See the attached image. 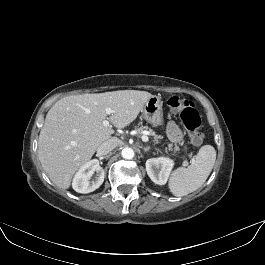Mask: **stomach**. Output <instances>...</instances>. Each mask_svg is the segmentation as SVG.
<instances>
[{
  "label": "stomach",
  "instance_id": "stomach-1",
  "mask_svg": "<svg viewBox=\"0 0 265 265\" xmlns=\"http://www.w3.org/2000/svg\"><path fill=\"white\" fill-rule=\"evenodd\" d=\"M162 105L163 102L160 97L152 96L141 110L144 119L153 126H159L164 123Z\"/></svg>",
  "mask_w": 265,
  "mask_h": 265
}]
</instances>
